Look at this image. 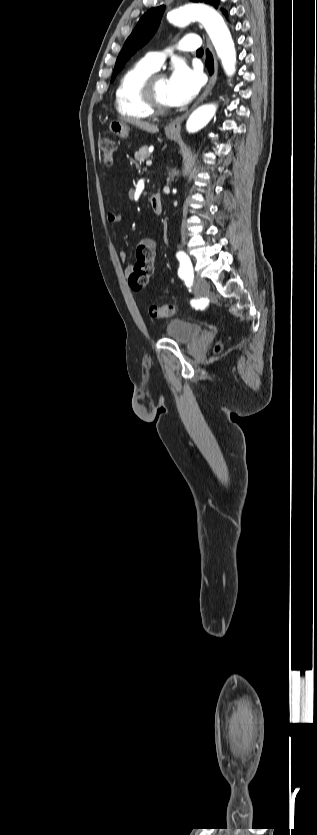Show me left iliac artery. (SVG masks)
<instances>
[{"instance_id":"1","label":"left iliac artery","mask_w":317,"mask_h":835,"mask_svg":"<svg viewBox=\"0 0 317 835\" xmlns=\"http://www.w3.org/2000/svg\"><path fill=\"white\" fill-rule=\"evenodd\" d=\"M177 259L180 262V267L178 270L179 277L185 281V283L190 286L192 284L194 275H193V268L190 262L188 255L184 251H179L176 254Z\"/></svg>"}]
</instances>
